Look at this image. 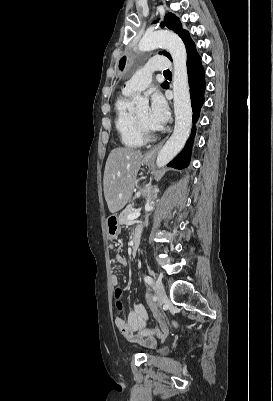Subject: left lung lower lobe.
Returning <instances> with one entry per match:
<instances>
[{
    "mask_svg": "<svg viewBox=\"0 0 273 401\" xmlns=\"http://www.w3.org/2000/svg\"><path fill=\"white\" fill-rule=\"evenodd\" d=\"M186 50L190 97L193 109V123H196L199 118L200 108L204 103L205 72L201 65V57L196 51L194 42L191 43ZM164 88H168V84H165ZM195 132L196 128L194 126L192 128L191 137L189 138L184 150L168 164L169 167L176 169H183L187 167L190 161L191 146Z\"/></svg>",
    "mask_w": 273,
    "mask_h": 401,
    "instance_id": "0a47b994",
    "label": "left lung lower lobe"
}]
</instances>
